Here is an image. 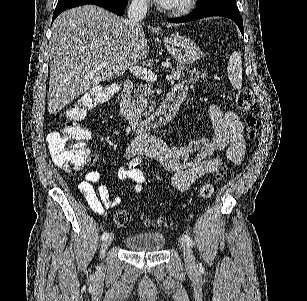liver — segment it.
I'll use <instances>...</instances> for the list:
<instances>
[{
    "label": "liver",
    "instance_id": "6515ba94",
    "mask_svg": "<svg viewBox=\"0 0 307 301\" xmlns=\"http://www.w3.org/2000/svg\"><path fill=\"white\" fill-rule=\"evenodd\" d=\"M49 46V114H57L102 80L117 78L149 54L141 24L130 28L127 18L96 4L61 12L52 24ZM101 62L108 64L100 66Z\"/></svg>",
    "mask_w": 307,
    "mask_h": 301
}]
</instances>
